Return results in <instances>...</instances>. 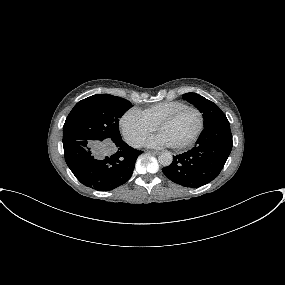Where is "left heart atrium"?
I'll return each instance as SVG.
<instances>
[{
	"instance_id": "1",
	"label": "left heart atrium",
	"mask_w": 285,
	"mask_h": 285,
	"mask_svg": "<svg viewBox=\"0 0 285 285\" xmlns=\"http://www.w3.org/2000/svg\"><path fill=\"white\" fill-rule=\"evenodd\" d=\"M147 144L153 147H166L170 146L168 140L162 134H157L148 139Z\"/></svg>"
}]
</instances>
